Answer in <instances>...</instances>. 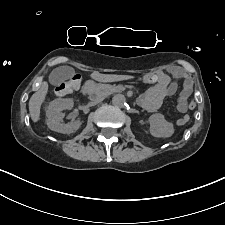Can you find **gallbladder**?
Instances as JSON below:
<instances>
[{
    "label": "gallbladder",
    "instance_id": "obj_1",
    "mask_svg": "<svg viewBox=\"0 0 225 225\" xmlns=\"http://www.w3.org/2000/svg\"><path fill=\"white\" fill-rule=\"evenodd\" d=\"M74 74V69L69 66H61L54 69L49 75V82L51 85H59L63 81L69 79Z\"/></svg>",
    "mask_w": 225,
    "mask_h": 225
}]
</instances>
